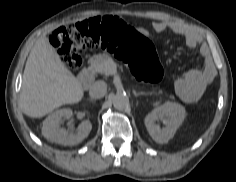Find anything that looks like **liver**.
Instances as JSON below:
<instances>
[{
  "instance_id": "6515ba94",
  "label": "liver",
  "mask_w": 236,
  "mask_h": 182,
  "mask_svg": "<svg viewBox=\"0 0 236 182\" xmlns=\"http://www.w3.org/2000/svg\"><path fill=\"white\" fill-rule=\"evenodd\" d=\"M82 81L61 61L48 38L38 39L26 61L20 107L32 118L43 117L65 104L82 100Z\"/></svg>"
}]
</instances>
